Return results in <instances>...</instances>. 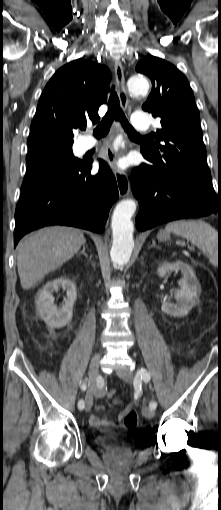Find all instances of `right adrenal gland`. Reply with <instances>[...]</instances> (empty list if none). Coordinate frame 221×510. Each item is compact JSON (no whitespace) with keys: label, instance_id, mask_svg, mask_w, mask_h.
I'll return each instance as SVG.
<instances>
[{"label":"right adrenal gland","instance_id":"right-adrenal-gland-1","mask_svg":"<svg viewBox=\"0 0 221 510\" xmlns=\"http://www.w3.org/2000/svg\"><path fill=\"white\" fill-rule=\"evenodd\" d=\"M81 254H83L86 258L88 257V255H87V254H86V252H85V243L83 244V249H82V251H81V252H79V253L77 254V256H79V255H81Z\"/></svg>","mask_w":221,"mask_h":510}]
</instances>
